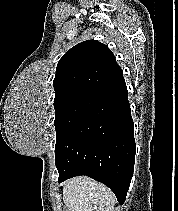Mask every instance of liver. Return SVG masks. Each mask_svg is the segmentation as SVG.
<instances>
[{"instance_id":"obj_1","label":"liver","mask_w":178,"mask_h":211,"mask_svg":"<svg viewBox=\"0 0 178 211\" xmlns=\"http://www.w3.org/2000/svg\"><path fill=\"white\" fill-rule=\"evenodd\" d=\"M63 202L67 211H113L115 197L105 185L75 177L64 183Z\"/></svg>"}]
</instances>
